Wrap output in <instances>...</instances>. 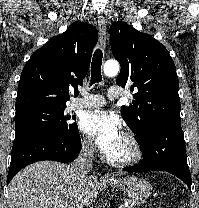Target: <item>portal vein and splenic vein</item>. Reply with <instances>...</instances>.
Listing matches in <instances>:
<instances>
[{
    "instance_id": "1",
    "label": "portal vein and splenic vein",
    "mask_w": 199,
    "mask_h": 208,
    "mask_svg": "<svg viewBox=\"0 0 199 208\" xmlns=\"http://www.w3.org/2000/svg\"><path fill=\"white\" fill-rule=\"evenodd\" d=\"M127 206V203L125 205H120L119 208H125Z\"/></svg>"
}]
</instances>
